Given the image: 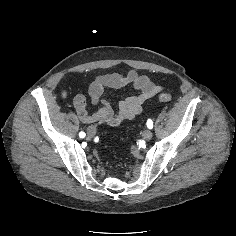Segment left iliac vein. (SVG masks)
<instances>
[{"instance_id": "1", "label": "left iliac vein", "mask_w": 236, "mask_h": 236, "mask_svg": "<svg viewBox=\"0 0 236 236\" xmlns=\"http://www.w3.org/2000/svg\"><path fill=\"white\" fill-rule=\"evenodd\" d=\"M152 136H153V134H152V132L149 131V130H144V131L142 132V138H143L144 140H150V139L152 138Z\"/></svg>"}]
</instances>
